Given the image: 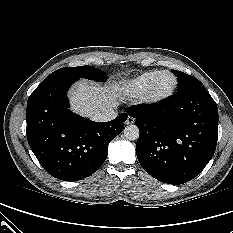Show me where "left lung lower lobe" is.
Listing matches in <instances>:
<instances>
[{
	"instance_id": "0a47b994",
	"label": "left lung lower lobe",
	"mask_w": 233,
	"mask_h": 233,
	"mask_svg": "<svg viewBox=\"0 0 233 233\" xmlns=\"http://www.w3.org/2000/svg\"><path fill=\"white\" fill-rule=\"evenodd\" d=\"M127 111L140 130L138 161L157 180L186 183L213 157L218 108L205 87L177 93L155 104L133 105Z\"/></svg>"
}]
</instances>
